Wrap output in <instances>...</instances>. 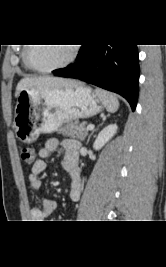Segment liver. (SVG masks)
<instances>
[{"label":"liver","mask_w":166,"mask_h":267,"mask_svg":"<svg viewBox=\"0 0 166 267\" xmlns=\"http://www.w3.org/2000/svg\"><path fill=\"white\" fill-rule=\"evenodd\" d=\"M78 83L70 80L51 76L26 77L19 81L16 87L15 97L26 88L48 89V88H69Z\"/></svg>","instance_id":"1"}]
</instances>
